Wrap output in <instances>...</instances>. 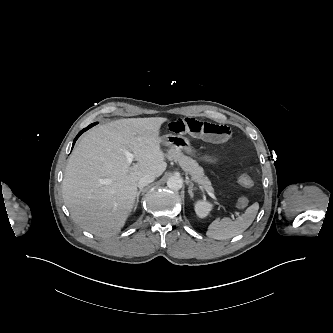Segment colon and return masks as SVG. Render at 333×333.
<instances>
[{"label": "colon", "mask_w": 333, "mask_h": 333, "mask_svg": "<svg viewBox=\"0 0 333 333\" xmlns=\"http://www.w3.org/2000/svg\"><path fill=\"white\" fill-rule=\"evenodd\" d=\"M239 185L245 188H251L254 186V180L246 174L239 175L237 178ZM249 201L246 197H240L236 203L237 208L243 209L248 205Z\"/></svg>", "instance_id": "obj_1"}]
</instances>
